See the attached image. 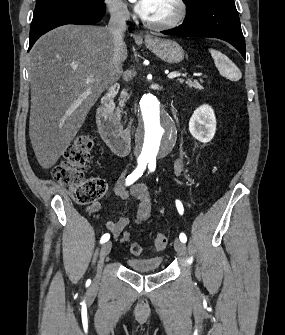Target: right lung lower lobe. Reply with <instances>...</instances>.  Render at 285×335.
Segmentation results:
<instances>
[{
    "mask_svg": "<svg viewBox=\"0 0 285 335\" xmlns=\"http://www.w3.org/2000/svg\"><path fill=\"white\" fill-rule=\"evenodd\" d=\"M105 14V6L88 7L57 3L33 13L29 49L46 32L66 24H95Z\"/></svg>",
    "mask_w": 285,
    "mask_h": 335,
    "instance_id": "right-lung-lower-lobe-1",
    "label": "right lung lower lobe"
}]
</instances>
